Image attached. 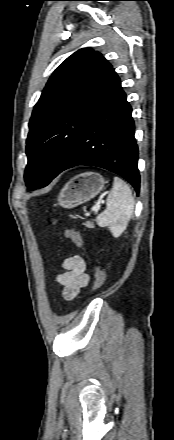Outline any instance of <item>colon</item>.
<instances>
[{
  "label": "colon",
  "instance_id": "colon-1",
  "mask_svg": "<svg viewBox=\"0 0 174 440\" xmlns=\"http://www.w3.org/2000/svg\"><path fill=\"white\" fill-rule=\"evenodd\" d=\"M52 223L54 225L58 224V221L56 219L52 220ZM62 231L68 239H70L77 247L82 248L84 241L82 236L78 231H76L74 228L71 227H64L62 228ZM105 282V274L103 270L100 267L95 266L94 267V284H93V290L97 291L99 290Z\"/></svg>",
  "mask_w": 174,
  "mask_h": 440
}]
</instances>
